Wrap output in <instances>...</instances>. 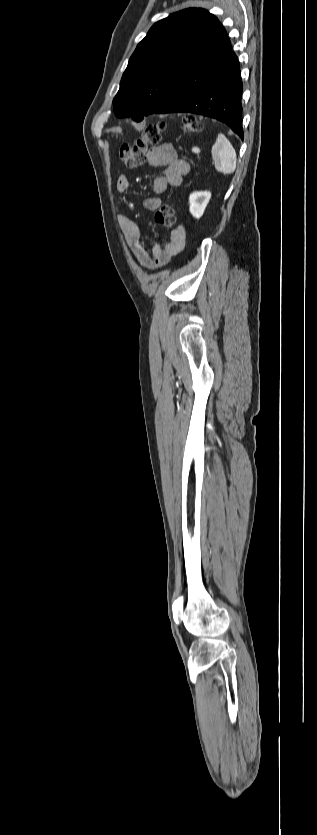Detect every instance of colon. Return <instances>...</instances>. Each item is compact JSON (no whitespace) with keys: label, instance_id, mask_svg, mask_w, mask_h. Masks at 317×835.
Returning <instances> with one entry per match:
<instances>
[{"label":"colon","instance_id":"obj_1","mask_svg":"<svg viewBox=\"0 0 317 835\" xmlns=\"http://www.w3.org/2000/svg\"><path fill=\"white\" fill-rule=\"evenodd\" d=\"M165 130L164 123L147 126L135 144H124L120 147L119 156L123 163L130 168H136L146 161L148 149L160 142ZM182 130L188 134L198 133L201 124L193 116H185L182 120ZM157 224L163 229H172L176 224L175 212L171 204L160 206L155 214Z\"/></svg>","mask_w":317,"mask_h":835}]
</instances>
